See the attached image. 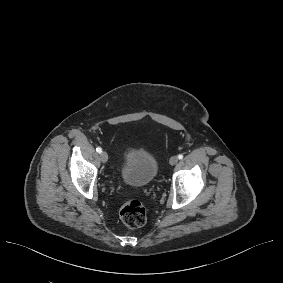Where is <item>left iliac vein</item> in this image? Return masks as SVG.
<instances>
[{
    "label": "left iliac vein",
    "instance_id": "4c4485c4",
    "mask_svg": "<svg viewBox=\"0 0 283 283\" xmlns=\"http://www.w3.org/2000/svg\"><path fill=\"white\" fill-rule=\"evenodd\" d=\"M177 162H178V157L177 156H172L170 158V161H169L170 165H175Z\"/></svg>",
    "mask_w": 283,
    "mask_h": 283
}]
</instances>
